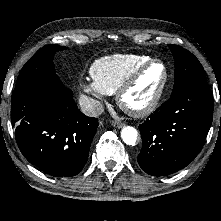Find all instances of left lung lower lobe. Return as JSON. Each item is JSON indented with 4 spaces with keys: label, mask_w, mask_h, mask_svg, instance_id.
<instances>
[{
    "label": "left lung lower lobe",
    "mask_w": 221,
    "mask_h": 221,
    "mask_svg": "<svg viewBox=\"0 0 221 221\" xmlns=\"http://www.w3.org/2000/svg\"><path fill=\"white\" fill-rule=\"evenodd\" d=\"M212 118L213 101L207 83L192 84L171 95L139 126L140 167L153 176L186 167L202 149Z\"/></svg>",
    "instance_id": "obj_1"
}]
</instances>
